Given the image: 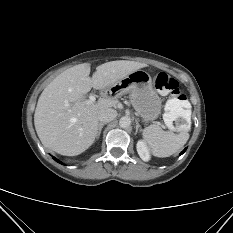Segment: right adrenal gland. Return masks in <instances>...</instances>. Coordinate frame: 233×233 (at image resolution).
Segmentation results:
<instances>
[{
	"label": "right adrenal gland",
	"instance_id": "1",
	"mask_svg": "<svg viewBox=\"0 0 233 233\" xmlns=\"http://www.w3.org/2000/svg\"><path fill=\"white\" fill-rule=\"evenodd\" d=\"M105 124H106V123H100V124H99L98 133H97V136H96L97 139L99 138V136H100V134H101V131H102V128H103V126H104Z\"/></svg>",
	"mask_w": 233,
	"mask_h": 233
}]
</instances>
